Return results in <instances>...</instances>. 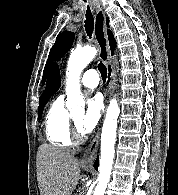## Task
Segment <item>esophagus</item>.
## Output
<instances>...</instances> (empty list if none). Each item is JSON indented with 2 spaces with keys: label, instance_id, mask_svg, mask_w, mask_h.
I'll list each match as a JSON object with an SVG mask.
<instances>
[{
  "label": "esophagus",
  "instance_id": "esophagus-1",
  "mask_svg": "<svg viewBox=\"0 0 178 195\" xmlns=\"http://www.w3.org/2000/svg\"><path fill=\"white\" fill-rule=\"evenodd\" d=\"M94 8H95V17H94L95 39L99 48V57L106 65L107 76L109 80L107 90L104 93L105 105L107 106L108 100L110 99L116 84V72L109 54V45H108L106 23H105V13L102 7L100 6V4H96ZM99 140H100V129H98L95 137L93 138V140L91 141L87 149L85 150V153L81 160L82 166L90 167L93 165L98 151Z\"/></svg>",
  "mask_w": 178,
  "mask_h": 195
}]
</instances>
